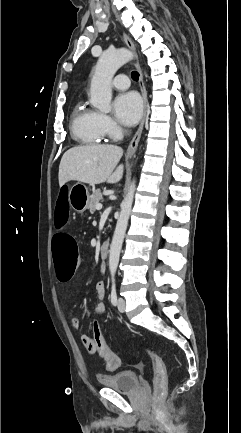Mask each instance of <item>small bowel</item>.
<instances>
[{"mask_svg":"<svg viewBox=\"0 0 241 433\" xmlns=\"http://www.w3.org/2000/svg\"><path fill=\"white\" fill-rule=\"evenodd\" d=\"M95 290L97 294V303L95 305V312L97 314H103L106 311V305H105V294H106V287L105 283L103 281H98L95 285ZM71 324L75 329H79L81 326L80 319L78 317H72L71 318ZM81 341L88 350L89 353H96L95 350L88 349V342H93L92 337H90L87 334L81 335Z\"/></svg>","mask_w":241,"mask_h":433,"instance_id":"c3829d8e","label":"small bowel"}]
</instances>
